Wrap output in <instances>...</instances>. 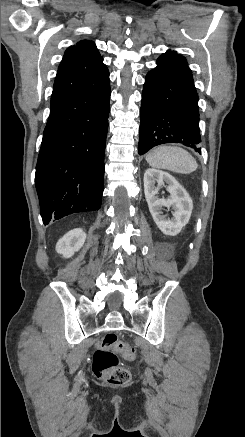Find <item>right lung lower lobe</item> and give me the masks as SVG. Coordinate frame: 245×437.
<instances>
[{"mask_svg":"<svg viewBox=\"0 0 245 437\" xmlns=\"http://www.w3.org/2000/svg\"><path fill=\"white\" fill-rule=\"evenodd\" d=\"M109 100L108 77L87 92L51 101L35 175L45 225L100 209Z\"/></svg>","mask_w":245,"mask_h":437,"instance_id":"1","label":"right lung lower lobe"}]
</instances>
